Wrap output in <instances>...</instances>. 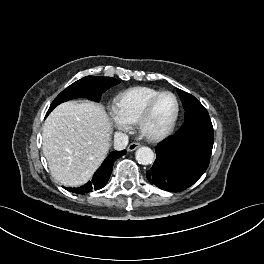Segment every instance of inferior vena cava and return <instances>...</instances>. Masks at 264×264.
Wrapping results in <instances>:
<instances>
[{
    "instance_id": "602c4592",
    "label": "inferior vena cava",
    "mask_w": 264,
    "mask_h": 264,
    "mask_svg": "<svg viewBox=\"0 0 264 264\" xmlns=\"http://www.w3.org/2000/svg\"><path fill=\"white\" fill-rule=\"evenodd\" d=\"M127 144H128V135L121 132H116L114 134V148L116 150L125 149Z\"/></svg>"
}]
</instances>
